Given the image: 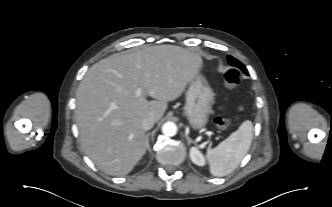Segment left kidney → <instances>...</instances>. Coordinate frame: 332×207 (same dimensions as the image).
Returning a JSON list of instances; mask_svg holds the SVG:
<instances>
[{
  "instance_id": "1",
  "label": "left kidney",
  "mask_w": 332,
  "mask_h": 207,
  "mask_svg": "<svg viewBox=\"0 0 332 207\" xmlns=\"http://www.w3.org/2000/svg\"><path fill=\"white\" fill-rule=\"evenodd\" d=\"M190 158H191L192 162L198 166L205 165V158H204L203 154L198 150L197 147L190 148Z\"/></svg>"
}]
</instances>
